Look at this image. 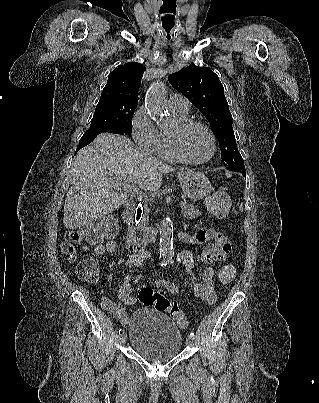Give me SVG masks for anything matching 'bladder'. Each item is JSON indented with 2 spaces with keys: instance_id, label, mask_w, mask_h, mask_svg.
<instances>
[{
  "instance_id": "31cf9c89",
  "label": "bladder",
  "mask_w": 319,
  "mask_h": 403,
  "mask_svg": "<svg viewBox=\"0 0 319 403\" xmlns=\"http://www.w3.org/2000/svg\"><path fill=\"white\" fill-rule=\"evenodd\" d=\"M127 327L130 347L145 360L163 363L181 352L182 334L161 311L140 308L128 319Z\"/></svg>"
}]
</instances>
